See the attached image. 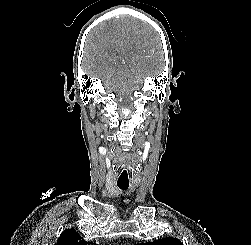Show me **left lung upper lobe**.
<instances>
[{"mask_svg": "<svg viewBox=\"0 0 251 245\" xmlns=\"http://www.w3.org/2000/svg\"><path fill=\"white\" fill-rule=\"evenodd\" d=\"M137 245H183L179 239L173 237L161 238L153 242L140 243Z\"/></svg>", "mask_w": 251, "mask_h": 245, "instance_id": "5c2ea615", "label": "left lung upper lobe"}]
</instances>
